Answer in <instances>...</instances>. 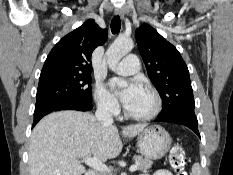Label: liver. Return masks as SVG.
Masks as SVG:
<instances>
[{"label":"liver","instance_id":"obj_1","mask_svg":"<svg viewBox=\"0 0 233 175\" xmlns=\"http://www.w3.org/2000/svg\"><path fill=\"white\" fill-rule=\"evenodd\" d=\"M146 124L126 126L125 137H134ZM122 141L114 125L99 122L86 112L66 110L45 116L33 129L29 146L30 175H82L79 159L92 155L101 161L117 157Z\"/></svg>","mask_w":233,"mask_h":175}]
</instances>
